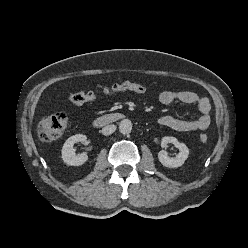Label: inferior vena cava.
<instances>
[{"mask_svg":"<svg viewBox=\"0 0 248 248\" xmlns=\"http://www.w3.org/2000/svg\"><path fill=\"white\" fill-rule=\"evenodd\" d=\"M115 130H116V126L114 124L113 125H107V126L103 127L102 134L107 136V135L114 133Z\"/></svg>","mask_w":248,"mask_h":248,"instance_id":"1","label":"inferior vena cava"}]
</instances>
